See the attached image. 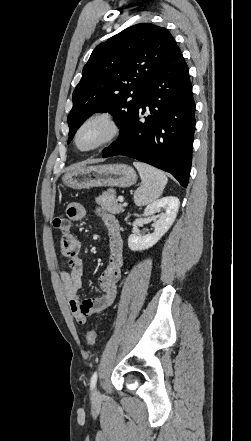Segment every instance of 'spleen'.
Returning <instances> with one entry per match:
<instances>
[{
    "instance_id": "obj_1",
    "label": "spleen",
    "mask_w": 251,
    "mask_h": 441,
    "mask_svg": "<svg viewBox=\"0 0 251 441\" xmlns=\"http://www.w3.org/2000/svg\"><path fill=\"white\" fill-rule=\"evenodd\" d=\"M133 165L142 181L141 186L134 193V202L137 206L151 204L162 195L168 179L162 171L148 164L135 161Z\"/></svg>"
}]
</instances>
